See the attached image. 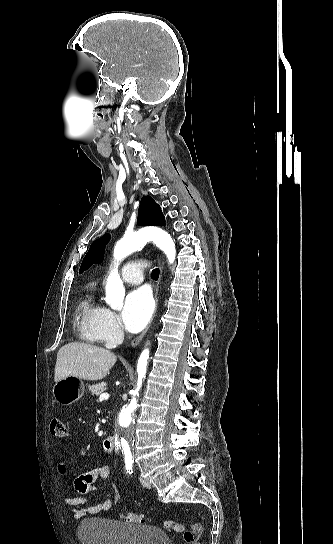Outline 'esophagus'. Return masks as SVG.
Segmentation results:
<instances>
[{
    "instance_id": "esophagus-1",
    "label": "esophagus",
    "mask_w": 333,
    "mask_h": 544,
    "mask_svg": "<svg viewBox=\"0 0 333 544\" xmlns=\"http://www.w3.org/2000/svg\"><path fill=\"white\" fill-rule=\"evenodd\" d=\"M159 269H160V277H159V280L157 281V284H156V286H155V294H154L155 302H156L155 312H156L157 304H158L159 283H160V279H161V276H162V270H163V269H162V265H161L160 263H159ZM154 315H155V313H154ZM154 315H153L151 321L149 322V324L147 325V327L143 330V332H142L139 336H137V337L131 342V344H130V347H131V348L136 347V346L140 343V341L143 339V337L146 335V333H147L149 327L151 326V323H152V321H153Z\"/></svg>"
}]
</instances>
